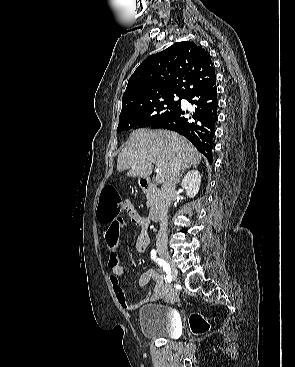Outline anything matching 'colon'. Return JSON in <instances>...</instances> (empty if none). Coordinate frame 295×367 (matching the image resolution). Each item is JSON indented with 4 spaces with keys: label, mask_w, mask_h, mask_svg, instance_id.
Returning <instances> with one entry per match:
<instances>
[{
    "label": "colon",
    "mask_w": 295,
    "mask_h": 367,
    "mask_svg": "<svg viewBox=\"0 0 295 367\" xmlns=\"http://www.w3.org/2000/svg\"><path fill=\"white\" fill-rule=\"evenodd\" d=\"M124 208L119 193L112 185H106L100 196L99 202V220L102 223H108L118 218L120 211ZM189 325L191 331L200 335L208 331V321L198 313H194L189 318Z\"/></svg>",
    "instance_id": "1"
}]
</instances>
